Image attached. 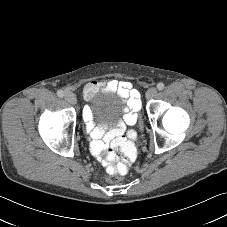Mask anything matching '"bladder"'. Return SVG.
I'll list each match as a JSON object with an SVG mask.
<instances>
[{"instance_id": "obj_1", "label": "bladder", "mask_w": 227, "mask_h": 227, "mask_svg": "<svg viewBox=\"0 0 227 227\" xmlns=\"http://www.w3.org/2000/svg\"><path fill=\"white\" fill-rule=\"evenodd\" d=\"M93 102L96 103L98 106H102L104 103V97L102 95H96L93 97Z\"/></svg>"}]
</instances>
